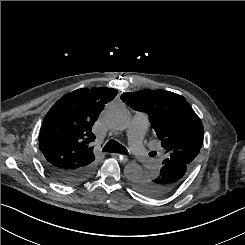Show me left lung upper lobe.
<instances>
[{"instance_id": "left-lung-upper-lobe-1", "label": "left lung upper lobe", "mask_w": 245, "mask_h": 245, "mask_svg": "<svg viewBox=\"0 0 245 245\" xmlns=\"http://www.w3.org/2000/svg\"><path fill=\"white\" fill-rule=\"evenodd\" d=\"M121 99L134 110L148 114L166 154L163 164H194L203 143L204 128L183 96L161 89H147L124 93Z\"/></svg>"}]
</instances>
